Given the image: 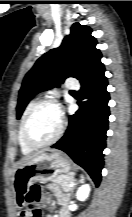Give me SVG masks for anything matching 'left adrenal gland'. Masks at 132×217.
<instances>
[{"label": "left adrenal gland", "instance_id": "1", "mask_svg": "<svg viewBox=\"0 0 132 217\" xmlns=\"http://www.w3.org/2000/svg\"><path fill=\"white\" fill-rule=\"evenodd\" d=\"M79 182H81V183L84 182V175H82V174L80 175V181Z\"/></svg>", "mask_w": 132, "mask_h": 217}]
</instances>
